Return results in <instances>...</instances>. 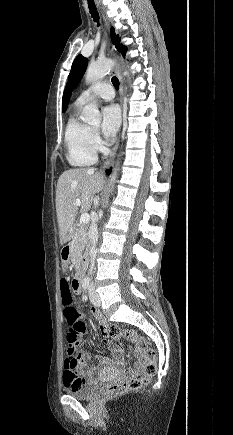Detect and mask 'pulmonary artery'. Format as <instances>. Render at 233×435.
Returning <instances> with one entry per match:
<instances>
[{
	"label": "pulmonary artery",
	"mask_w": 233,
	"mask_h": 435,
	"mask_svg": "<svg viewBox=\"0 0 233 435\" xmlns=\"http://www.w3.org/2000/svg\"><path fill=\"white\" fill-rule=\"evenodd\" d=\"M114 97L111 85L105 82H98L95 85L84 90L76 100L78 105H83L95 98L111 100Z\"/></svg>",
	"instance_id": "1"
}]
</instances>
